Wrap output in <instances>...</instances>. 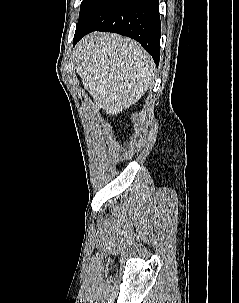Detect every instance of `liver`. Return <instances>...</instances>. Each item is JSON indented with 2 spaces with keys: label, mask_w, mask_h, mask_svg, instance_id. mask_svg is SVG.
I'll list each match as a JSON object with an SVG mask.
<instances>
[{
  "label": "liver",
  "mask_w": 239,
  "mask_h": 303,
  "mask_svg": "<svg viewBox=\"0 0 239 303\" xmlns=\"http://www.w3.org/2000/svg\"><path fill=\"white\" fill-rule=\"evenodd\" d=\"M74 54L84 88L107 115L136 104L152 83V58L128 37L94 32L77 44Z\"/></svg>",
  "instance_id": "liver-1"
}]
</instances>
